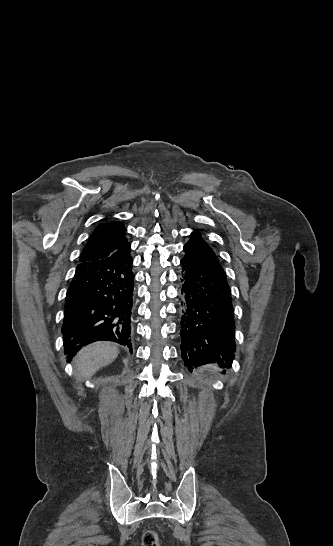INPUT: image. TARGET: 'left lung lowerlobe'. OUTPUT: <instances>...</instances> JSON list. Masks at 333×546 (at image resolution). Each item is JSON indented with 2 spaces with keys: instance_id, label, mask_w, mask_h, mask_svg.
<instances>
[{
  "instance_id": "0a47b994",
  "label": "left lung lower lobe",
  "mask_w": 333,
  "mask_h": 546,
  "mask_svg": "<svg viewBox=\"0 0 333 546\" xmlns=\"http://www.w3.org/2000/svg\"><path fill=\"white\" fill-rule=\"evenodd\" d=\"M181 351L189 370L206 363L229 368L234 359L235 321L231 291L219 260L197 231L184 245Z\"/></svg>"
}]
</instances>
